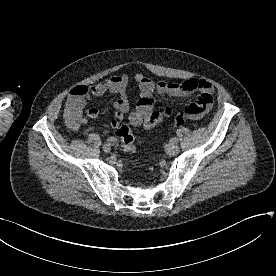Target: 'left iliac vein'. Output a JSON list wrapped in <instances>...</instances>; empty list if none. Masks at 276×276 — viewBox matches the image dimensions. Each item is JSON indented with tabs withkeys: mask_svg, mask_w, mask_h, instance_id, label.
Masks as SVG:
<instances>
[{
	"mask_svg": "<svg viewBox=\"0 0 276 276\" xmlns=\"http://www.w3.org/2000/svg\"><path fill=\"white\" fill-rule=\"evenodd\" d=\"M179 153V147L177 144L171 145L170 146V155L175 156Z\"/></svg>",
	"mask_w": 276,
	"mask_h": 276,
	"instance_id": "obj_1",
	"label": "left iliac vein"
}]
</instances>
